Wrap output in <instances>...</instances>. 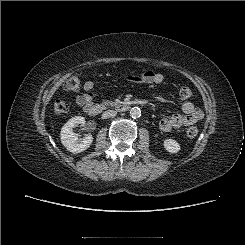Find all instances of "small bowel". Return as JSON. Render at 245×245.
Listing matches in <instances>:
<instances>
[{
    "instance_id": "small-bowel-1",
    "label": "small bowel",
    "mask_w": 245,
    "mask_h": 245,
    "mask_svg": "<svg viewBox=\"0 0 245 245\" xmlns=\"http://www.w3.org/2000/svg\"><path fill=\"white\" fill-rule=\"evenodd\" d=\"M128 79L133 82L142 84H160L163 82V76L160 73L154 71H145L140 75L130 76ZM93 88V82H85L84 93H81L76 97V103L83 107L85 110L93 103ZM182 111L183 114H173L169 117L163 118L159 123L160 129L164 132H168L172 129H177L182 126L193 125L203 117L202 110L190 101H185L183 103Z\"/></svg>"
}]
</instances>
